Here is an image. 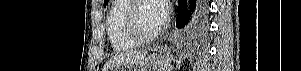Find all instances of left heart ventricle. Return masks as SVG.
Returning <instances> with one entry per match:
<instances>
[{"label": "left heart ventricle", "mask_w": 301, "mask_h": 71, "mask_svg": "<svg viewBox=\"0 0 301 71\" xmlns=\"http://www.w3.org/2000/svg\"><path fill=\"white\" fill-rule=\"evenodd\" d=\"M135 20L141 31L146 34H151L159 30L152 1H143L138 5L135 12Z\"/></svg>", "instance_id": "b2bd125f"}]
</instances>
